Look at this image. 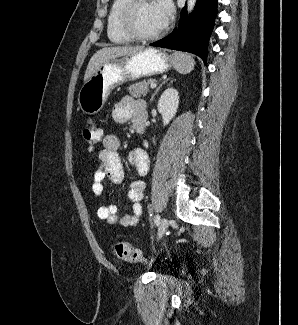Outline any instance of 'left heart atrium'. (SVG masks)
Returning <instances> with one entry per match:
<instances>
[{
	"mask_svg": "<svg viewBox=\"0 0 298 325\" xmlns=\"http://www.w3.org/2000/svg\"><path fill=\"white\" fill-rule=\"evenodd\" d=\"M172 6L169 3H163L161 5V11H162V18H163V23L164 26L167 25L171 15H172Z\"/></svg>",
	"mask_w": 298,
	"mask_h": 325,
	"instance_id": "1",
	"label": "left heart atrium"
}]
</instances>
